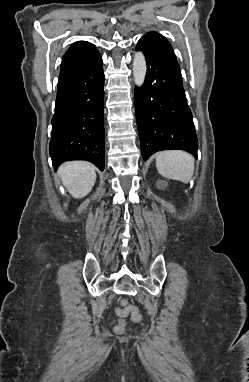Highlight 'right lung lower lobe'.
<instances>
[{
  "mask_svg": "<svg viewBox=\"0 0 249 382\" xmlns=\"http://www.w3.org/2000/svg\"><path fill=\"white\" fill-rule=\"evenodd\" d=\"M104 72L102 58L58 85L52 118L50 156L56 170L63 161L83 159L104 170Z\"/></svg>",
  "mask_w": 249,
  "mask_h": 382,
  "instance_id": "98d812e1",
  "label": "right lung lower lobe"
}]
</instances>
